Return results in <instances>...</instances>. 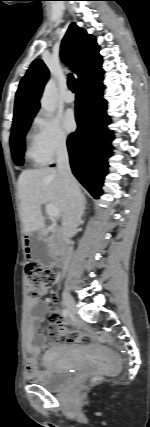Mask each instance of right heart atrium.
Listing matches in <instances>:
<instances>
[{
    "label": "right heart atrium",
    "mask_w": 150,
    "mask_h": 427,
    "mask_svg": "<svg viewBox=\"0 0 150 427\" xmlns=\"http://www.w3.org/2000/svg\"><path fill=\"white\" fill-rule=\"evenodd\" d=\"M35 126L37 144L46 162L66 151L68 138L57 119L38 117Z\"/></svg>",
    "instance_id": "1"
}]
</instances>
